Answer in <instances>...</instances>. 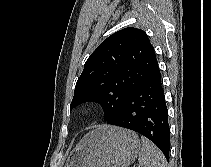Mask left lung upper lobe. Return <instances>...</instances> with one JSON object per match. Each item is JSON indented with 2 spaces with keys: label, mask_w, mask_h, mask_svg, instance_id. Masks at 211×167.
<instances>
[{
  "label": "left lung upper lobe",
  "mask_w": 211,
  "mask_h": 167,
  "mask_svg": "<svg viewBox=\"0 0 211 167\" xmlns=\"http://www.w3.org/2000/svg\"><path fill=\"white\" fill-rule=\"evenodd\" d=\"M157 64L154 48L143 30L127 27L112 34L85 62L70 110L83 102H98L104 109V120L109 121Z\"/></svg>",
  "instance_id": "left-lung-upper-lobe-1"
}]
</instances>
